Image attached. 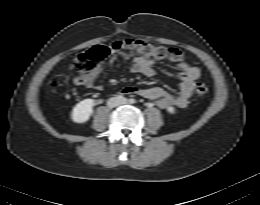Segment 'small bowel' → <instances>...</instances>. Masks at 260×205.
<instances>
[{
    "mask_svg": "<svg viewBox=\"0 0 260 205\" xmlns=\"http://www.w3.org/2000/svg\"><path fill=\"white\" fill-rule=\"evenodd\" d=\"M118 60V55L112 51L109 63L114 65ZM179 69L180 87L177 93H170L160 87L142 88L138 86H126L119 91L122 96L138 95L156 102L161 109L172 107L185 108L191 97V93L196 80L200 77L201 71L198 67L189 65L185 61L177 64ZM131 71L152 77L156 73V62L153 59L137 56L134 58ZM102 72V67L97 66L93 71L86 74H79L74 78V83L78 86H85L102 90L97 84V80Z\"/></svg>",
    "mask_w": 260,
    "mask_h": 205,
    "instance_id": "1",
    "label": "small bowel"
}]
</instances>
